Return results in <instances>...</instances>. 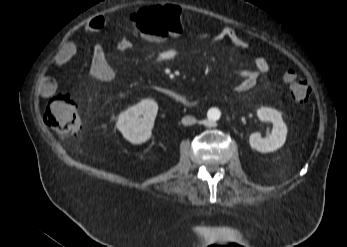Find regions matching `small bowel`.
Wrapping results in <instances>:
<instances>
[{
    "label": "small bowel",
    "mask_w": 347,
    "mask_h": 247,
    "mask_svg": "<svg viewBox=\"0 0 347 247\" xmlns=\"http://www.w3.org/2000/svg\"><path fill=\"white\" fill-rule=\"evenodd\" d=\"M106 25L105 17H95L87 21L83 29L89 33H95L104 29ZM181 33H175L172 37H179ZM198 36L201 39H208L210 42L229 41L234 48L240 51L247 50L249 46L248 42L231 27H222L214 33L199 32ZM132 48L133 44L129 38L122 37L119 40V51L128 52ZM76 50L77 46L72 40L66 41L53 57L52 65L59 67L66 64L76 54ZM176 55V49L168 47L159 52L158 59L160 62L168 63L174 60ZM254 67V70H247L246 74L241 75L239 82L234 87L235 91L245 92L252 89L257 83L259 73H265L269 70V63L264 57H257L254 59ZM90 72L99 81H111L117 76L116 69L109 64L105 57V50L102 45L94 46L92 49ZM37 86L44 97L52 96L57 90V83L48 73H42L39 76Z\"/></svg>",
    "instance_id": "obj_1"
}]
</instances>
